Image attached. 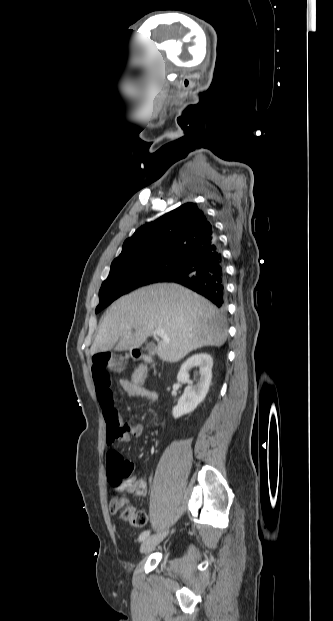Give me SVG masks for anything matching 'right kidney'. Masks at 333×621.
Returning a JSON list of instances; mask_svg holds the SVG:
<instances>
[{"mask_svg": "<svg viewBox=\"0 0 333 621\" xmlns=\"http://www.w3.org/2000/svg\"><path fill=\"white\" fill-rule=\"evenodd\" d=\"M213 359L207 353H197L189 357L181 366L177 380L181 383H189V370L194 367L199 368L200 378L198 383L187 386L183 395L173 408L174 418H179L185 414L193 412L204 400L211 383Z\"/></svg>", "mask_w": 333, "mask_h": 621, "instance_id": "right-kidney-1", "label": "right kidney"}]
</instances>
